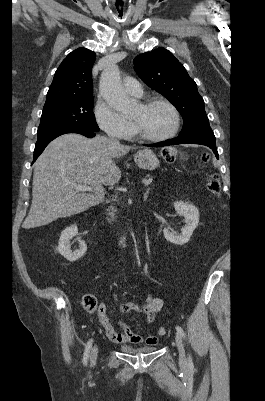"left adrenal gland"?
<instances>
[{
    "mask_svg": "<svg viewBox=\"0 0 265 401\" xmlns=\"http://www.w3.org/2000/svg\"><path fill=\"white\" fill-rule=\"evenodd\" d=\"M148 194H149V188H146V192H144V196H143L144 201H147Z\"/></svg>",
    "mask_w": 265,
    "mask_h": 401,
    "instance_id": "left-adrenal-gland-1",
    "label": "left adrenal gland"
}]
</instances>
